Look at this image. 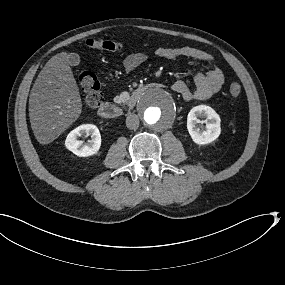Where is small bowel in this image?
Masks as SVG:
<instances>
[{
	"label": "small bowel",
	"mask_w": 285,
	"mask_h": 285,
	"mask_svg": "<svg viewBox=\"0 0 285 285\" xmlns=\"http://www.w3.org/2000/svg\"><path fill=\"white\" fill-rule=\"evenodd\" d=\"M155 56L162 59L185 58L196 62L206 63L209 68L198 70L194 75V86L190 87L183 81H176L172 90L183 99L207 100L218 93L224 84V74L215 64L213 57L207 52L193 47H160L156 49ZM148 59L146 52H133L123 60L125 72H132Z\"/></svg>",
	"instance_id": "small-bowel-1"
}]
</instances>
